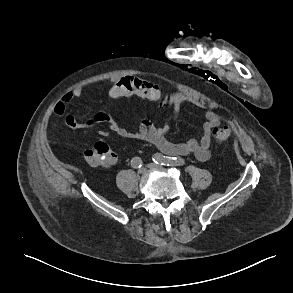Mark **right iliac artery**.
<instances>
[{"mask_svg": "<svg viewBox=\"0 0 293 293\" xmlns=\"http://www.w3.org/2000/svg\"><path fill=\"white\" fill-rule=\"evenodd\" d=\"M131 165L133 168H140L143 165V162L139 157H134L131 160Z\"/></svg>", "mask_w": 293, "mask_h": 293, "instance_id": "1", "label": "right iliac artery"}]
</instances>
